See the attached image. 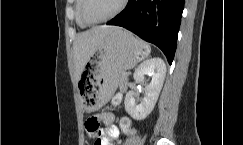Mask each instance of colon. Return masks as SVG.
<instances>
[{"instance_id": "1", "label": "colon", "mask_w": 243, "mask_h": 145, "mask_svg": "<svg viewBox=\"0 0 243 145\" xmlns=\"http://www.w3.org/2000/svg\"><path fill=\"white\" fill-rule=\"evenodd\" d=\"M115 103L119 102V99H115L114 101ZM121 128L124 132H131V122L129 119L127 118H123L120 122ZM85 128L88 132V134H95L100 130L99 127V120L96 116H92L90 118H88L85 122Z\"/></svg>"}]
</instances>
